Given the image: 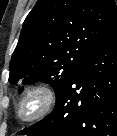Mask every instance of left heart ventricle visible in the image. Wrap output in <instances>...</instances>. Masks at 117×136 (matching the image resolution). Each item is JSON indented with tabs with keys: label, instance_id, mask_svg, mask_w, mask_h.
<instances>
[{
	"label": "left heart ventricle",
	"instance_id": "obj_1",
	"mask_svg": "<svg viewBox=\"0 0 117 136\" xmlns=\"http://www.w3.org/2000/svg\"><path fill=\"white\" fill-rule=\"evenodd\" d=\"M38 105H39V101L35 98L31 99L24 107L23 109V114L25 116H28L32 113H34L37 108H38Z\"/></svg>",
	"mask_w": 117,
	"mask_h": 136
}]
</instances>
